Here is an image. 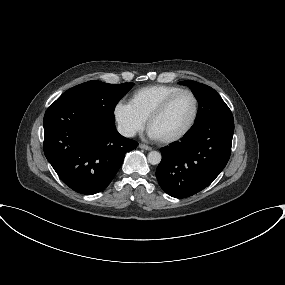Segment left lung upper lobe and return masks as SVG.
<instances>
[{
	"instance_id": "5c2ea615",
	"label": "left lung upper lobe",
	"mask_w": 285,
	"mask_h": 285,
	"mask_svg": "<svg viewBox=\"0 0 285 285\" xmlns=\"http://www.w3.org/2000/svg\"><path fill=\"white\" fill-rule=\"evenodd\" d=\"M180 84L189 86L199 103L198 113L192 127L213 120L233 119L229 107L211 87L195 81H182Z\"/></svg>"
}]
</instances>
